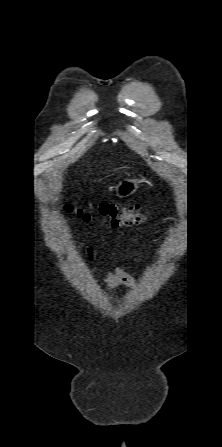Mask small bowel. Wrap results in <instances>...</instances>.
<instances>
[{
	"mask_svg": "<svg viewBox=\"0 0 222 447\" xmlns=\"http://www.w3.org/2000/svg\"><path fill=\"white\" fill-rule=\"evenodd\" d=\"M93 256L90 252V262H93ZM100 283L109 291L113 292L120 288L132 289L135 285L134 279L120 267L105 272L100 279Z\"/></svg>",
	"mask_w": 222,
	"mask_h": 447,
	"instance_id": "1",
	"label": "small bowel"
}]
</instances>
